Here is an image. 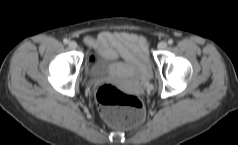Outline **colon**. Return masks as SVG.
<instances>
[{
	"label": "colon",
	"instance_id": "1",
	"mask_svg": "<svg viewBox=\"0 0 238 145\" xmlns=\"http://www.w3.org/2000/svg\"><path fill=\"white\" fill-rule=\"evenodd\" d=\"M99 111L108 122L130 128L141 123L145 116L142 99L121 91L113 84H103L96 91Z\"/></svg>",
	"mask_w": 238,
	"mask_h": 145
}]
</instances>
